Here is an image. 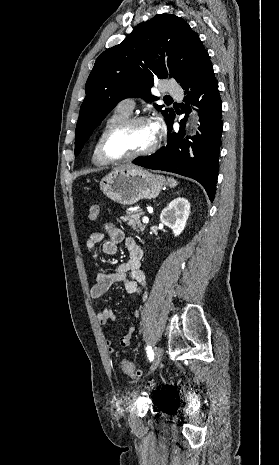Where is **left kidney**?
Listing matches in <instances>:
<instances>
[{
  "mask_svg": "<svg viewBox=\"0 0 279 465\" xmlns=\"http://www.w3.org/2000/svg\"><path fill=\"white\" fill-rule=\"evenodd\" d=\"M190 215V203L183 197L172 200L161 212L160 221L173 230L175 237L179 236L185 229Z\"/></svg>",
  "mask_w": 279,
  "mask_h": 465,
  "instance_id": "obj_1",
  "label": "left kidney"
}]
</instances>
